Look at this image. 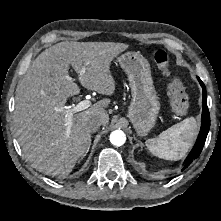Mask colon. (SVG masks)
<instances>
[{
    "instance_id": "obj_1",
    "label": "colon",
    "mask_w": 221,
    "mask_h": 221,
    "mask_svg": "<svg viewBox=\"0 0 221 221\" xmlns=\"http://www.w3.org/2000/svg\"><path fill=\"white\" fill-rule=\"evenodd\" d=\"M153 60L168 79L167 91L171 101L172 111L176 114H185L189 102L188 95L182 81L172 75L170 55L164 50H156L152 54Z\"/></svg>"
}]
</instances>
